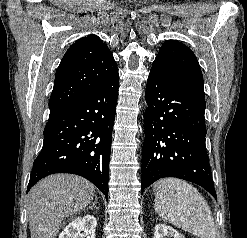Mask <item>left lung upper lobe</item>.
<instances>
[{
    "label": "left lung upper lobe",
    "mask_w": 247,
    "mask_h": 238,
    "mask_svg": "<svg viewBox=\"0 0 247 238\" xmlns=\"http://www.w3.org/2000/svg\"><path fill=\"white\" fill-rule=\"evenodd\" d=\"M152 66H158L180 83L204 95L203 76L194 53L183 43L166 41Z\"/></svg>",
    "instance_id": "left-lung-upper-lobe-1"
}]
</instances>
